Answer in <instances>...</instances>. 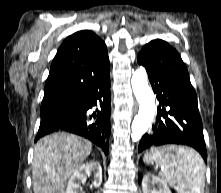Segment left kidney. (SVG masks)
Wrapping results in <instances>:
<instances>
[{"instance_id":"left-kidney-1","label":"left kidney","mask_w":221,"mask_h":193,"mask_svg":"<svg viewBox=\"0 0 221 193\" xmlns=\"http://www.w3.org/2000/svg\"><path fill=\"white\" fill-rule=\"evenodd\" d=\"M155 184L158 186V189H155ZM142 190L143 193H171L167 183L151 173L144 175L142 180Z\"/></svg>"}]
</instances>
